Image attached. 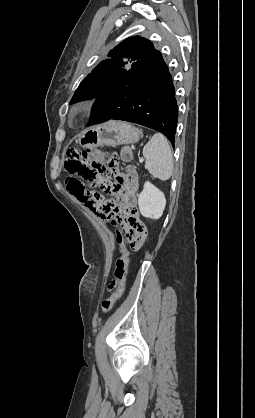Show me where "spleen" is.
I'll return each instance as SVG.
<instances>
[{
    "instance_id": "spleen-1",
    "label": "spleen",
    "mask_w": 255,
    "mask_h": 418,
    "mask_svg": "<svg viewBox=\"0 0 255 418\" xmlns=\"http://www.w3.org/2000/svg\"><path fill=\"white\" fill-rule=\"evenodd\" d=\"M145 168L156 178L165 181L173 173V155L168 140L156 133L143 148Z\"/></svg>"
}]
</instances>
